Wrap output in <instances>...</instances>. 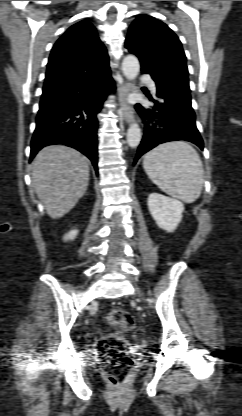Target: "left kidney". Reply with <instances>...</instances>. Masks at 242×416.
I'll return each mask as SVG.
<instances>
[{"label": "left kidney", "instance_id": "5707ae66", "mask_svg": "<svg viewBox=\"0 0 242 416\" xmlns=\"http://www.w3.org/2000/svg\"><path fill=\"white\" fill-rule=\"evenodd\" d=\"M147 204L158 227L167 232H173L177 228L184 211L183 203L159 193H152Z\"/></svg>", "mask_w": 242, "mask_h": 416}]
</instances>
